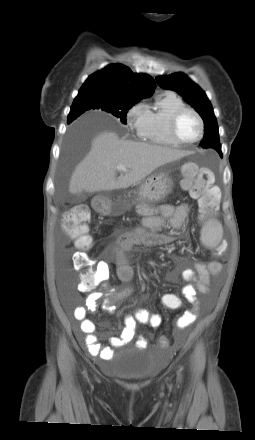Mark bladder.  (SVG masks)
Wrapping results in <instances>:
<instances>
[{
	"label": "bladder",
	"mask_w": 255,
	"mask_h": 440,
	"mask_svg": "<svg viewBox=\"0 0 255 440\" xmlns=\"http://www.w3.org/2000/svg\"><path fill=\"white\" fill-rule=\"evenodd\" d=\"M113 375L123 381L141 382L151 379L156 372L154 356L143 348H137L118 360Z\"/></svg>",
	"instance_id": "1"
}]
</instances>
